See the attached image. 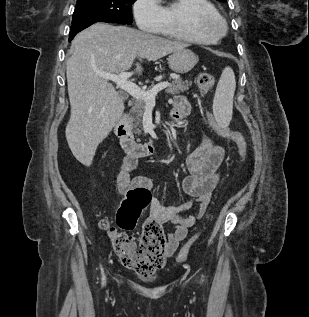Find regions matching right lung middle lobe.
<instances>
[{"instance_id": "1", "label": "right lung middle lobe", "mask_w": 309, "mask_h": 317, "mask_svg": "<svg viewBox=\"0 0 309 317\" xmlns=\"http://www.w3.org/2000/svg\"><path fill=\"white\" fill-rule=\"evenodd\" d=\"M136 0H77L72 24L84 20L132 24V6Z\"/></svg>"}]
</instances>
